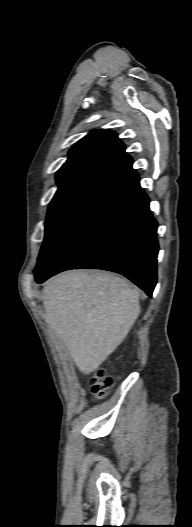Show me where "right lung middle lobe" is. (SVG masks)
I'll return each instance as SVG.
<instances>
[{"mask_svg": "<svg viewBox=\"0 0 192 527\" xmlns=\"http://www.w3.org/2000/svg\"><path fill=\"white\" fill-rule=\"evenodd\" d=\"M106 183L90 179L59 187L49 205L45 223V238L38 261L50 251L64 231Z\"/></svg>", "mask_w": 192, "mask_h": 527, "instance_id": "1", "label": "right lung middle lobe"}]
</instances>
